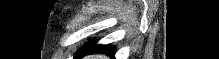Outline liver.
<instances>
[{
    "label": "liver",
    "instance_id": "6515ba94",
    "mask_svg": "<svg viewBox=\"0 0 219 59\" xmlns=\"http://www.w3.org/2000/svg\"><path fill=\"white\" fill-rule=\"evenodd\" d=\"M85 59H108L107 56L104 55H91L86 57Z\"/></svg>",
    "mask_w": 219,
    "mask_h": 59
}]
</instances>
